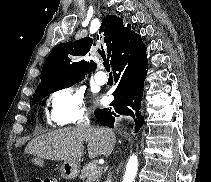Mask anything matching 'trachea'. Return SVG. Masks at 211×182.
<instances>
[{
  "label": "trachea",
  "mask_w": 211,
  "mask_h": 182,
  "mask_svg": "<svg viewBox=\"0 0 211 182\" xmlns=\"http://www.w3.org/2000/svg\"><path fill=\"white\" fill-rule=\"evenodd\" d=\"M103 65H104L105 69L109 72L110 71L109 60L104 59ZM110 74H111V72H110Z\"/></svg>",
  "instance_id": "obj_1"
}]
</instances>
